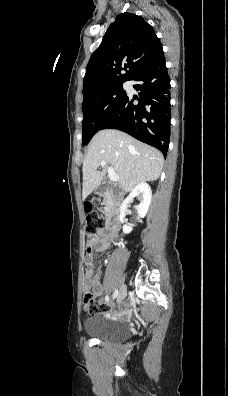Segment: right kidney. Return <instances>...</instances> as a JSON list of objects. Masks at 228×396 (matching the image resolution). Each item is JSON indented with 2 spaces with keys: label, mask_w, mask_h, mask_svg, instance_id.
I'll use <instances>...</instances> for the list:
<instances>
[{
  "label": "right kidney",
  "mask_w": 228,
  "mask_h": 396,
  "mask_svg": "<svg viewBox=\"0 0 228 396\" xmlns=\"http://www.w3.org/2000/svg\"><path fill=\"white\" fill-rule=\"evenodd\" d=\"M135 197H138L140 199V204L135 206L138 215L142 218L146 216L149 206L151 204L152 191L147 183L141 182L137 186H135V188L131 191L129 196L124 200V202L120 206L119 220L121 223L124 222L127 205L130 202H132ZM131 231H132V227L123 225V232L125 234H129Z\"/></svg>",
  "instance_id": "obj_1"
}]
</instances>
